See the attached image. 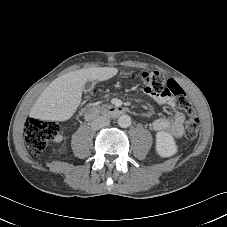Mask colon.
I'll use <instances>...</instances> for the list:
<instances>
[{
    "mask_svg": "<svg viewBox=\"0 0 227 227\" xmlns=\"http://www.w3.org/2000/svg\"><path fill=\"white\" fill-rule=\"evenodd\" d=\"M144 87L145 92L153 96L172 95L175 104L183 109L188 119L185 135L188 139H194L199 132L200 121L196 111L182 87L173 80H165L158 72H143L133 74ZM60 127L55 122H47L31 118L24 126L25 142L33 155L41 154L49 141L58 136Z\"/></svg>",
    "mask_w": 227,
    "mask_h": 227,
    "instance_id": "colon-1",
    "label": "colon"
}]
</instances>
